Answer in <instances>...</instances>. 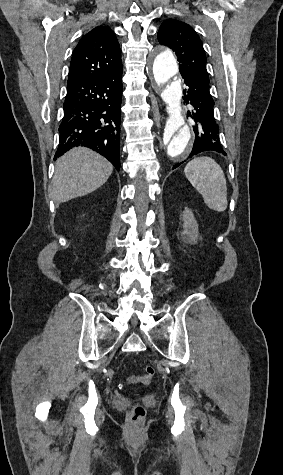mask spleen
<instances>
[{
    "label": "spleen",
    "mask_w": 283,
    "mask_h": 475,
    "mask_svg": "<svg viewBox=\"0 0 283 475\" xmlns=\"http://www.w3.org/2000/svg\"><path fill=\"white\" fill-rule=\"evenodd\" d=\"M193 188L202 194L210 210L224 212L227 208V184L223 170L212 158H194L184 168Z\"/></svg>",
    "instance_id": "spleen-1"
}]
</instances>
